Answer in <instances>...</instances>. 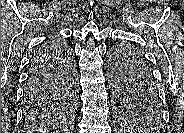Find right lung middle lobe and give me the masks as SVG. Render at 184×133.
Listing matches in <instances>:
<instances>
[{"label":"right lung middle lobe","mask_w":184,"mask_h":133,"mask_svg":"<svg viewBox=\"0 0 184 133\" xmlns=\"http://www.w3.org/2000/svg\"><path fill=\"white\" fill-rule=\"evenodd\" d=\"M59 50L61 65L54 86L41 99L24 98L25 111L29 117L38 116L45 111L59 107H72L74 104L75 67L66 46L52 40ZM67 51V53H66Z\"/></svg>","instance_id":"1"}]
</instances>
